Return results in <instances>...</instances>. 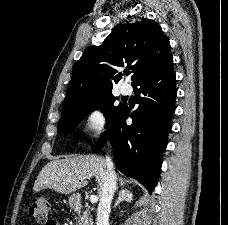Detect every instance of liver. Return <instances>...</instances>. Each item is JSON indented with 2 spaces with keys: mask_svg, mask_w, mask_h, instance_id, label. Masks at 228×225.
<instances>
[{
  "mask_svg": "<svg viewBox=\"0 0 228 225\" xmlns=\"http://www.w3.org/2000/svg\"><path fill=\"white\" fill-rule=\"evenodd\" d=\"M107 163L102 157L95 155H72V159H58L50 161L40 171L33 187V191L53 189L61 195H70L81 187L88 185L89 181H81L82 177L91 179L95 177L98 185L97 193L100 199L102 195L101 185L105 179ZM120 187H124L128 181L118 179Z\"/></svg>",
  "mask_w": 228,
  "mask_h": 225,
  "instance_id": "obj_1",
  "label": "liver"
}]
</instances>
